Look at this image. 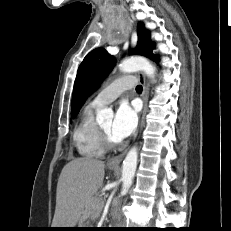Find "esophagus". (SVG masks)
Listing matches in <instances>:
<instances>
[{
	"label": "esophagus",
	"instance_id": "obj_1",
	"mask_svg": "<svg viewBox=\"0 0 231 231\" xmlns=\"http://www.w3.org/2000/svg\"><path fill=\"white\" fill-rule=\"evenodd\" d=\"M138 77H139L140 82L143 85V92H142L141 97H142L143 103L145 104V96L147 93V85H146L145 76H144V74L139 73ZM136 135H137V132L135 133L134 137H136ZM125 154H126V151H124L123 153H121L115 157L110 158L107 162V165L110 167H118L120 165V163L122 162Z\"/></svg>",
	"mask_w": 231,
	"mask_h": 231
}]
</instances>
